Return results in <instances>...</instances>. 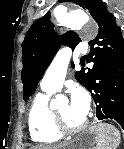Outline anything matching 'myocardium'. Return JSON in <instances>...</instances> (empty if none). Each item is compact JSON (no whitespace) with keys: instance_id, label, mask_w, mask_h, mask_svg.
<instances>
[{"instance_id":"myocardium-1","label":"myocardium","mask_w":124,"mask_h":149,"mask_svg":"<svg viewBox=\"0 0 124 149\" xmlns=\"http://www.w3.org/2000/svg\"><path fill=\"white\" fill-rule=\"evenodd\" d=\"M53 124L55 129L62 135H72L81 132L88 125V119H85L80 125H68L61 114L55 109L52 110Z\"/></svg>"}]
</instances>
